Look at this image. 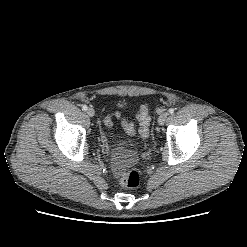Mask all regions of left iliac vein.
<instances>
[{"mask_svg":"<svg viewBox=\"0 0 247 247\" xmlns=\"http://www.w3.org/2000/svg\"><path fill=\"white\" fill-rule=\"evenodd\" d=\"M167 117H168V113H167V112L162 113V114L159 116V118H158V123H159V125H163V124L166 122Z\"/></svg>","mask_w":247,"mask_h":247,"instance_id":"obj_1","label":"left iliac vein"}]
</instances>
